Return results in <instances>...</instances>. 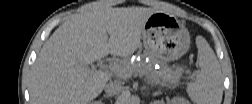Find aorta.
<instances>
[{
  "label": "aorta",
  "mask_w": 252,
  "mask_h": 104,
  "mask_svg": "<svg viewBox=\"0 0 252 104\" xmlns=\"http://www.w3.org/2000/svg\"><path fill=\"white\" fill-rule=\"evenodd\" d=\"M139 98L137 96H131L129 94L124 95V102L126 103H137Z\"/></svg>",
  "instance_id": "762f6f07"
}]
</instances>
